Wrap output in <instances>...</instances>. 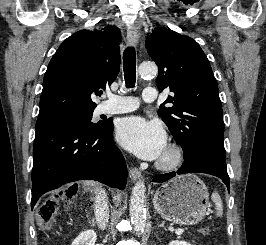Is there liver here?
Listing matches in <instances>:
<instances>
[{
    "mask_svg": "<svg viewBox=\"0 0 266 245\" xmlns=\"http://www.w3.org/2000/svg\"><path fill=\"white\" fill-rule=\"evenodd\" d=\"M83 185H88V187H91V191H94V193H99L100 191V185L99 183H95V181H83ZM120 199L121 197L119 193H116L115 197H113V201H116L115 205H117Z\"/></svg>",
    "mask_w": 266,
    "mask_h": 245,
    "instance_id": "obj_1",
    "label": "liver"
}]
</instances>
